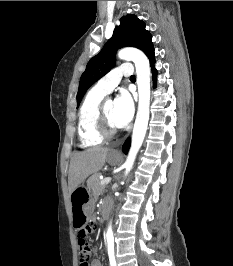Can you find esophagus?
Returning a JSON list of instances; mask_svg holds the SVG:
<instances>
[{"instance_id": "34e87169", "label": "esophagus", "mask_w": 233, "mask_h": 266, "mask_svg": "<svg viewBox=\"0 0 233 266\" xmlns=\"http://www.w3.org/2000/svg\"><path fill=\"white\" fill-rule=\"evenodd\" d=\"M113 153L117 154V153H118V151L116 150V151H114Z\"/></svg>"}]
</instances>
